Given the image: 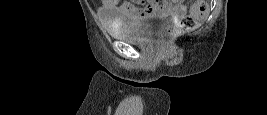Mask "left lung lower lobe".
<instances>
[{"label":"left lung lower lobe","instance_id":"obj_1","mask_svg":"<svg viewBox=\"0 0 267 115\" xmlns=\"http://www.w3.org/2000/svg\"><path fill=\"white\" fill-rule=\"evenodd\" d=\"M143 87H160L158 85H148V86H143Z\"/></svg>","mask_w":267,"mask_h":115}]
</instances>
